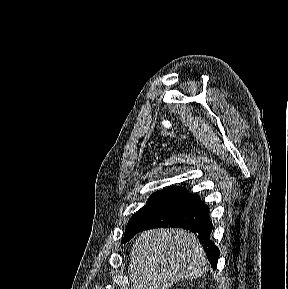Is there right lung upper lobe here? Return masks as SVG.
I'll use <instances>...</instances> for the list:
<instances>
[{"label":"right lung upper lobe","instance_id":"right-lung-upper-lobe-1","mask_svg":"<svg viewBox=\"0 0 288 289\" xmlns=\"http://www.w3.org/2000/svg\"><path fill=\"white\" fill-rule=\"evenodd\" d=\"M168 189L186 190V189L180 188V187H178V186H170V187H168Z\"/></svg>","mask_w":288,"mask_h":289}]
</instances>
